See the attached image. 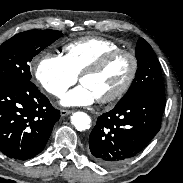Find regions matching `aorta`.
I'll use <instances>...</instances> for the list:
<instances>
[{"label":"aorta","instance_id":"aorta-1","mask_svg":"<svg viewBox=\"0 0 183 183\" xmlns=\"http://www.w3.org/2000/svg\"><path fill=\"white\" fill-rule=\"evenodd\" d=\"M71 123L78 131H84L90 128L91 119L84 112H74L71 116Z\"/></svg>","mask_w":183,"mask_h":183}]
</instances>
